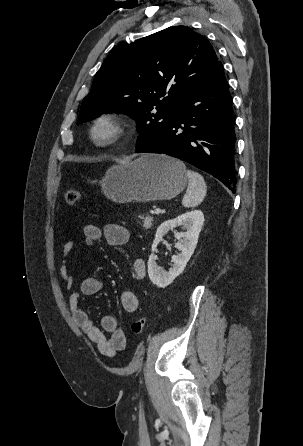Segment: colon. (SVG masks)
<instances>
[{
	"label": "colon",
	"mask_w": 303,
	"mask_h": 446,
	"mask_svg": "<svg viewBox=\"0 0 303 446\" xmlns=\"http://www.w3.org/2000/svg\"><path fill=\"white\" fill-rule=\"evenodd\" d=\"M65 201L67 204H69L71 206H75L80 202V194L78 193V191H76L74 189H70V190L66 191V193H65ZM131 328H132V331L134 334H136V335L143 334V332L146 328V319L143 317L136 319L132 323Z\"/></svg>",
	"instance_id": "5ec220e1"
}]
</instances>
